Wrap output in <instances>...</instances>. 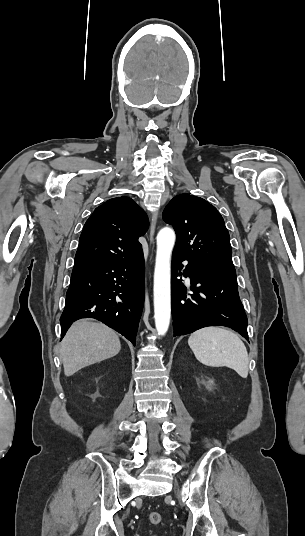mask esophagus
I'll use <instances>...</instances> for the list:
<instances>
[{
    "instance_id": "esophagus-1",
    "label": "esophagus",
    "mask_w": 305,
    "mask_h": 536,
    "mask_svg": "<svg viewBox=\"0 0 305 536\" xmlns=\"http://www.w3.org/2000/svg\"><path fill=\"white\" fill-rule=\"evenodd\" d=\"M157 211L154 213L153 221L150 227V242H153L155 229H156V219H157Z\"/></svg>"
}]
</instances>
